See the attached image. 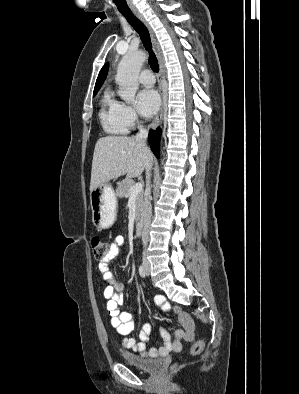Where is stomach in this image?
<instances>
[{
    "label": "stomach",
    "instance_id": "1",
    "mask_svg": "<svg viewBox=\"0 0 299 394\" xmlns=\"http://www.w3.org/2000/svg\"><path fill=\"white\" fill-rule=\"evenodd\" d=\"M93 224L100 229L111 227L116 219L117 197L114 189L104 184L90 193Z\"/></svg>",
    "mask_w": 299,
    "mask_h": 394
}]
</instances>
